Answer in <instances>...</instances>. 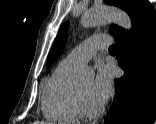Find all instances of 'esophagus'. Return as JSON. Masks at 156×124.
<instances>
[{
  "instance_id": "1",
  "label": "esophagus",
  "mask_w": 156,
  "mask_h": 124,
  "mask_svg": "<svg viewBox=\"0 0 156 124\" xmlns=\"http://www.w3.org/2000/svg\"><path fill=\"white\" fill-rule=\"evenodd\" d=\"M99 122H97V121H95V122H93V124H98Z\"/></svg>"
}]
</instances>
